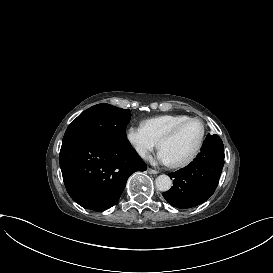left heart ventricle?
<instances>
[{
	"instance_id": "obj_1",
	"label": "left heart ventricle",
	"mask_w": 273,
	"mask_h": 273,
	"mask_svg": "<svg viewBox=\"0 0 273 273\" xmlns=\"http://www.w3.org/2000/svg\"><path fill=\"white\" fill-rule=\"evenodd\" d=\"M202 133V125L193 121L184 126L174 138L166 141L162 149L167 153L171 163L187 159L195 150Z\"/></svg>"
}]
</instances>
